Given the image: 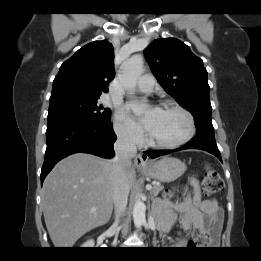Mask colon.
<instances>
[{
    "label": "colon",
    "instance_id": "5ec220e1",
    "mask_svg": "<svg viewBox=\"0 0 261 261\" xmlns=\"http://www.w3.org/2000/svg\"><path fill=\"white\" fill-rule=\"evenodd\" d=\"M224 190V182L218 172L207 166L202 179V193L206 196L219 194ZM168 198L172 197L171 193H167ZM210 241V234L202 232L195 236L193 244L198 246H206Z\"/></svg>",
    "mask_w": 261,
    "mask_h": 261
}]
</instances>
